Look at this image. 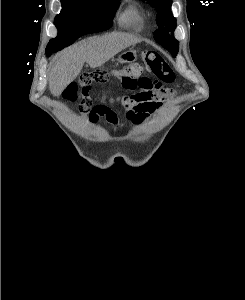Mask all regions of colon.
Instances as JSON below:
<instances>
[{
    "label": "colon",
    "mask_w": 245,
    "mask_h": 300,
    "mask_svg": "<svg viewBox=\"0 0 245 300\" xmlns=\"http://www.w3.org/2000/svg\"><path fill=\"white\" fill-rule=\"evenodd\" d=\"M141 59L142 63H131L116 70L98 69L85 73L80 77L79 83L71 84L65 90L64 97L69 101H76L80 94L89 92L94 84H106L110 80L131 90L136 87L144 71L155 76L152 86L157 98L173 97L175 91L165 88L164 85L173 83L175 74L163 56L156 51L149 50L142 53Z\"/></svg>",
    "instance_id": "1"
}]
</instances>
